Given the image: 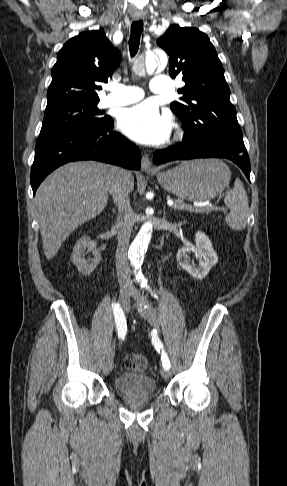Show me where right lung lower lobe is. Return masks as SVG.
<instances>
[{
    "label": "right lung lower lobe",
    "mask_w": 287,
    "mask_h": 486,
    "mask_svg": "<svg viewBox=\"0 0 287 486\" xmlns=\"http://www.w3.org/2000/svg\"><path fill=\"white\" fill-rule=\"evenodd\" d=\"M113 119L83 130L39 135L31 168L33 193L43 179L57 167L78 160H97L138 170L141 155L137 146L113 131Z\"/></svg>",
    "instance_id": "obj_1"
}]
</instances>
